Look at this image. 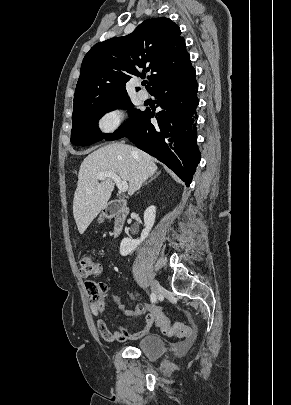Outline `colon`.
Instances as JSON below:
<instances>
[{"instance_id": "5ec220e1", "label": "colon", "mask_w": 291, "mask_h": 405, "mask_svg": "<svg viewBox=\"0 0 291 405\" xmlns=\"http://www.w3.org/2000/svg\"><path fill=\"white\" fill-rule=\"evenodd\" d=\"M79 271L82 277L88 279L85 283L89 299L97 311L103 308V294L106 286L103 283L91 280L102 273L101 264L91 255L84 254L79 258ZM148 312L151 321L160 328L161 332L169 337H178L184 340L193 338L192 328L184 323L171 324L168 317L158 305H148Z\"/></svg>"}]
</instances>
